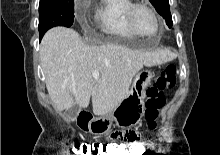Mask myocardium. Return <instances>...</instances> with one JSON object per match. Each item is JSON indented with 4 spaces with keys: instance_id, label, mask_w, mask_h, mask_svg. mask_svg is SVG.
I'll use <instances>...</instances> for the list:
<instances>
[{
    "instance_id": "1",
    "label": "myocardium",
    "mask_w": 220,
    "mask_h": 155,
    "mask_svg": "<svg viewBox=\"0 0 220 155\" xmlns=\"http://www.w3.org/2000/svg\"><path fill=\"white\" fill-rule=\"evenodd\" d=\"M144 8L148 10L154 17L156 23H157V31L154 34L155 36L158 35L162 30V21L158 13L155 11V9L149 5L146 2L140 1V2H132L126 11V19L128 26L130 29L138 36L147 37L146 35L142 34L136 27L135 21H134V13L137 9Z\"/></svg>"
}]
</instances>
